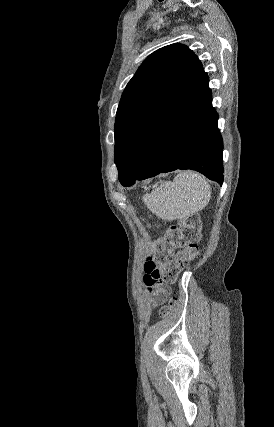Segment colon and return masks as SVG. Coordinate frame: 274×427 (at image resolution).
<instances>
[{
    "label": "colon",
    "mask_w": 274,
    "mask_h": 427,
    "mask_svg": "<svg viewBox=\"0 0 274 427\" xmlns=\"http://www.w3.org/2000/svg\"><path fill=\"white\" fill-rule=\"evenodd\" d=\"M200 238V223L197 215L180 220L165 229L161 236V248H182V254H187L188 260L197 257ZM177 298L176 296L174 297ZM170 309L154 311L155 317L170 318Z\"/></svg>",
    "instance_id": "obj_1"
}]
</instances>
